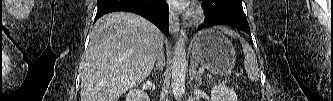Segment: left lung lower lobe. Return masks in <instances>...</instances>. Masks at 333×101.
Instances as JSON below:
<instances>
[{"instance_id":"obj_1","label":"left lung lower lobe","mask_w":333,"mask_h":101,"mask_svg":"<svg viewBox=\"0 0 333 101\" xmlns=\"http://www.w3.org/2000/svg\"><path fill=\"white\" fill-rule=\"evenodd\" d=\"M206 23L198 30L214 25H227L251 35L249 24L245 17L242 0H202Z\"/></svg>"}]
</instances>
